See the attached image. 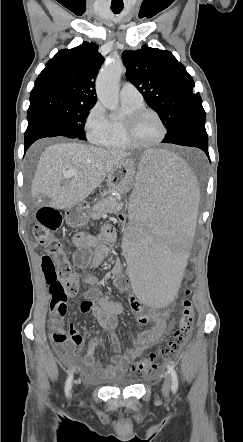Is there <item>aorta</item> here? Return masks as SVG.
Returning a JSON list of instances; mask_svg holds the SVG:
<instances>
[{"mask_svg": "<svg viewBox=\"0 0 243 442\" xmlns=\"http://www.w3.org/2000/svg\"><path fill=\"white\" fill-rule=\"evenodd\" d=\"M123 70L122 61L119 58H113L98 74L96 80L97 97L108 109L114 110L118 106V81Z\"/></svg>", "mask_w": 243, "mask_h": 442, "instance_id": "1", "label": "aorta"}]
</instances>
